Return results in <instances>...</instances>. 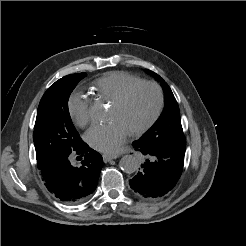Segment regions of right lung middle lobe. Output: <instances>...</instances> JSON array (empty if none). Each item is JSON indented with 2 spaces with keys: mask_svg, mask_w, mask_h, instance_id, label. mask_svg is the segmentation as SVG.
Wrapping results in <instances>:
<instances>
[{
  "mask_svg": "<svg viewBox=\"0 0 246 246\" xmlns=\"http://www.w3.org/2000/svg\"><path fill=\"white\" fill-rule=\"evenodd\" d=\"M86 73L65 76L52 84L38 106L33 140L37 163L70 153L82 141L68 110V99Z\"/></svg>",
  "mask_w": 246,
  "mask_h": 246,
  "instance_id": "right-lung-middle-lobe-1",
  "label": "right lung middle lobe"
}]
</instances>
